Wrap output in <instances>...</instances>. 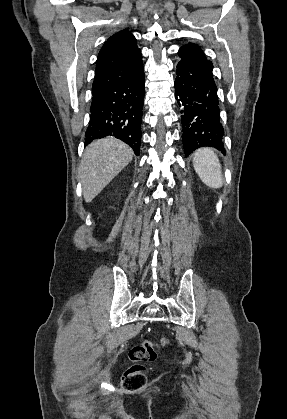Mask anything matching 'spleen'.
<instances>
[{"mask_svg":"<svg viewBox=\"0 0 287 419\" xmlns=\"http://www.w3.org/2000/svg\"><path fill=\"white\" fill-rule=\"evenodd\" d=\"M194 170L202 182L210 188H220L223 184L220 161L211 148H199L193 157Z\"/></svg>","mask_w":287,"mask_h":419,"instance_id":"1","label":"spleen"}]
</instances>
